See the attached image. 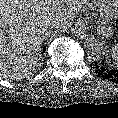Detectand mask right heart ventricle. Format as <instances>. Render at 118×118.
<instances>
[{
    "label": "right heart ventricle",
    "mask_w": 118,
    "mask_h": 118,
    "mask_svg": "<svg viewBox=\"0 0 118 118\" xmlns=\"http://www.w3.org/2000/svg\"><path fill=\"white\" fill-rule=\"evenodd\" d=\"M101 1H104L105 3L112 5L115 11L118 10V0H101Z\"/></svg>",
    "instance_id": "right-heart-ventricle-1"
}]
</instances>
